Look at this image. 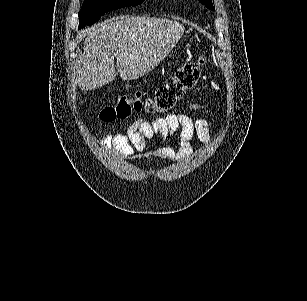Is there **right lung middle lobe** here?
Wrapping results in <instances>:
<instances>
[{"instance_id":"right-lung-middle-lobe-1","label":"right lung middle lobe","mask_w":307,"mask_h":301,"mask_svg":"<svg viewBox=\"0 0 307 301\" xmlns=\"http://www.w3.org/2000/svg\"><path fill=\"white\" fill-rule=\"evenodd\" d=\"M144 0H84L79 12V29L99 21L108 11L128 6H136Z\"/></svg>"}]
</instances>
